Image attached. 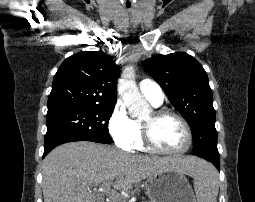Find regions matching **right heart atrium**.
<instances>
[{
    "label": "right heart atrium",
    "instance_id": "1",
    "mask_svg": "<svg viewBox=\"0 0 255 202\" xmlns=\"http://www.w3.org/2000/svg\"><path fill=\"white\" fill-rule=\"evenodd\" d=\"M108 132L113 142L120 148L130 150L135 141L134 121L129 117L125 107L117 104L108 120Z\"/></svg>",
    "mask_w": 255,
    "mask_h": 202
}]
</instances>
